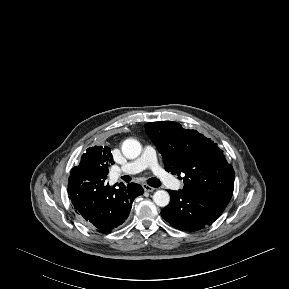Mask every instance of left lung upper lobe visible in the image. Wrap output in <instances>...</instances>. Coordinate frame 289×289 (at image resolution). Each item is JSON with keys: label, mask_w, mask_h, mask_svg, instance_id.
Returning a JSON list of instances; mask_svg holds the SVG:
<instances>
[{"label": "left lung upper lobe", "mask_w": 289, "mask_h": 289, "mask_svg": "<svg viewBox=\"0 0 289 289\" xmlns=\"http://www.w3.org/2000/svg\"><path fill=\"white\" fill-rule=\"evenodd\" d=\"M145 129L163 157L165 170L185 174L183 190L227 206L233 194L234 170L216 143L177 122L147 123Z\"/></svg>", "instance_id": "left-lung-upper-lobe-1"}]
</instances>
